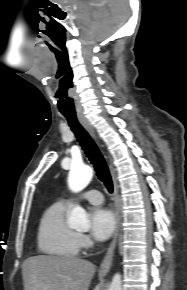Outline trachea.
<instances>
[{"instance_id":"3493384b","label":"trachea","mask_w":187,"mask_h":290,"mask_svg":"<svg viewBox=\"0 0 187 290\" xmlns=\"http://www.w3.org/2000/svg\"><path fill=\"white\" fill-rule=\"evenodd\" d=\"M67 119L71 130L74 132L78 142L84 150L86 156L93 164L98 178L104 183L109 193L113 192L112 178L106 164V161L98 149L97 145L87 133V131L79 123L75 113H63Z\"/></svg>"}]
</instances>
